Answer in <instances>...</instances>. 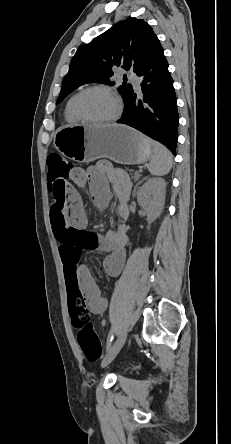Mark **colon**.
Segmentation results:
<instances>
[{"label": "colon", "mask_w": 231, "mask_h": 444, "mask_svg": "<svg viewBox=\"0 0 231 444\" xmlns=\"http://www.w3.org/2000/svg\"><path fill=\"white\" fill-rule=\"evenodd\" d=\"M48 183L54 198L58 197L61 189L66 187L74 174H79L74 164L57 153L48 157ZM69 312L74 327L78 330L77 340L85 358L89 362L99 360L102 346L97 333L94 331L90 320V314L83 296L73 286L68 288Z\"/></svg>", "instance_id": "colon-1"}]
</instances>
